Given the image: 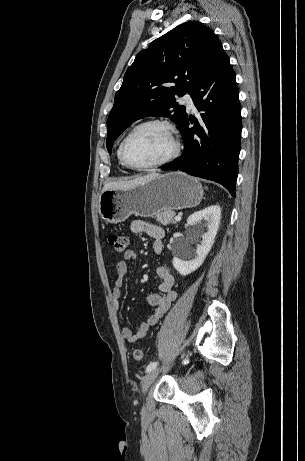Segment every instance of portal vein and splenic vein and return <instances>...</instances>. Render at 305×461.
<instances>
[{
  "label": "portal vein and splenic vein",
  "instance_id": "18ae733b",
  "mask_svg": "<svg viewBox=\"0 0 305 461\" xmlns=\"http://www.w3.org/2000/svg\"><path fill=\"white\" fill-rule=\"evenodd\" d=\"M175 220H176V221H181V216H179V215H178V216H175Z\"/></svg>",
  "mask_w": 305,
  "mask_h": 461
}]
</instances>
